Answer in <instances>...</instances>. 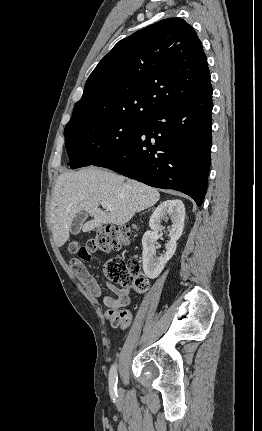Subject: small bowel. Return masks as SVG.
Returning a JSON list of instances; mask_svg holds the SVG:
<instances>
[{
    "label": "small bowel",
    "mask_w": 262,
    "mask_h": 431,
    "mask_svg": "<svg viewBox=\"0 0 262 431\" xmlns=\"http://www.w3.org/2000/svg\"><path fill=\"white\" fill-rule=\"evenodd\" d=\"M77 259L71 260V266L77 264ZM81 271L75 272L77 279L82 283L85 289L96 297H100L102 295V286L98 283V281L89 274L86 267L81 263ZM111 290L115 293V296H105L103 297V304L106 307V316L109 318L110 316L122 311V308L127 307L130 304L129 297V289L121 288L118 289L114 286H110ZM129 315V311L125 310ZM131 317V315H130Z\"/></svg>",
    "instance_id": "obj_1"
}]
</instances>
